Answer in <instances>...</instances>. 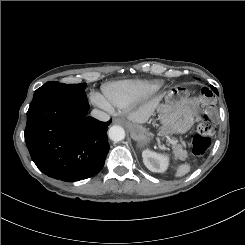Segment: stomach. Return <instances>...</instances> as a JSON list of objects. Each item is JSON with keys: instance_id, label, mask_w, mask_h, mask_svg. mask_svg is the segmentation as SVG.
<instances>
[{"instance_id": "stomach-1", "label": "stomach", "mask_w": 245, "mask_h": 245, "mask_svg": "<svg viewBox=\"0 0 245 245\" xmlns=\"http://www.w3.org/2000/svg\"><path fill=\"white\" fill-rule=\"evenodd\" d=\"M165 103L156 106L161 121L160 132L162 135L186 133L194 123L193 111L186 104L184 91L173 88L165 94ZM132 138L140 145H146L152 139V133L138 124L129 125Z\"/></svg>"}]
</instances>
